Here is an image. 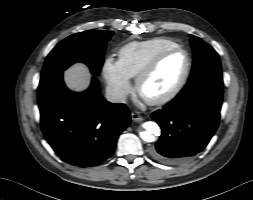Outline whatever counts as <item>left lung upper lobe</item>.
<instances>
[{
	"instance_id": "left-lung-upper-lobe-1",
	"label": "left lung upper lobe",
	"mask_w": 253,
	"mask_h": 200,
	"mask_svg": "<svg viewBox=\"0 0 253 200\" xmlns=\"http://www.w3.org/2000/svg\"><path fill=\"white\" fill-rule=\"evenodd\" d=\"M193 49V68L190 78L177 95L185 97L206 85L223 86L220 59L216 51L200 38L190 35Z\"/></svg>"
}]
</instances>
